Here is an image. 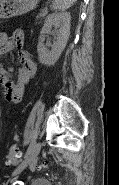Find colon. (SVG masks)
<instances>
[{"label": "colon", "instance_id": "colon-1", "mask_svg": "<svg viewBox=\"0 0 119 185\" xmlns=\"http://www.w3.org/2000/svg\"><path fill=\"white\" fill-rule=\"evenodd\" d=\"M9 84V83H7ZM21 152L17 144L10 146L8 153L5 156V162L8 166H14L18 163L20 159Z\"/></svg>", "mask_w": 119, "mask_h": 185}]
</instances>
